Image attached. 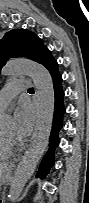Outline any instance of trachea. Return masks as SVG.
<instances>
[{
    "mask_svg": "<svg viewBox=\"0 0 89 203\" xmlns=\"http://www.w3.org/2000/svg\"><path fill=\"white\" fill-rule=\"evenodd\" d=\"M28 91H34L33 88H29Z\"/></svg>",
    "mask_w": 89,
    "mask_h": 203,
    "instance_id": "3493384b",
    "label": "trachea"
}]
</instances>
